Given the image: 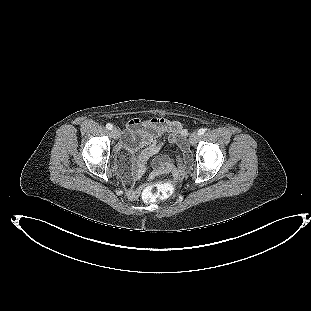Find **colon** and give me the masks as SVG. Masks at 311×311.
<instances>
[{
  "instance_id": "5ec220e1",
  "label": "colon",
  "mask_w": 311,
  "mask_h": 311,
  "mask_svg": "<svg viewBox=\"0 0 311 311\" xmlns=\"http://www.w3.org/2000/svg\"><path fill=\"white\" fill-rule=\"evenodd\" d=\"M121 166L124 167V163H121ZM122 174H124L122 172ZM125 175V174H124ZM175 192V187L169 183H153L148 185L143 193V199L148 203H155L157 201L169 198Z\"/></svg>"
}]
</instances>
